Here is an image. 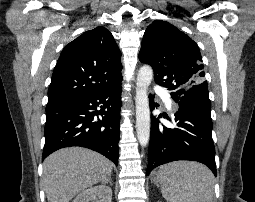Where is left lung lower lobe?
<instances>
[{"label":"left lung lower lobe","mask_w":255,"mask_h":202,"mask_svg":"<svg viewBox=\"0 0 255 202\" xmlns=\"http://www.w3.org/2000/svg\"><path fill=\"white\" fill-rule=\"evenodd\" d=\"M149 99L150 107L154 109V95H149ZM173 121L176 127L167 128L151 116L147 175L167 162L192 160L207 165L216 176L211 112L179 105Z\"/></svg>","instance_id":"left-lung-lower-lobe-1"}]
</instances>
